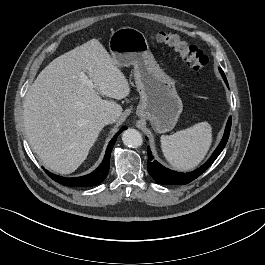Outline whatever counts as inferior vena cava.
I'll return each mask as SVG.
<instances>
[{"label": "inferior vena cava", "instance_id": "1", "mask_svg": "<svg viewBox=\"0 0 265 265\" xmlns=\"http://www.w3.org/2000/svg\"><path fill=\"white\" fill-rule=\"evenodd\" d=\"M96 120L98 123L102 125H107V124L115 122V117L111 115L110 113L103 112L97 116Z\"/></svg>", "mask_w": 265, "mask_h": 265}]
</instances>
